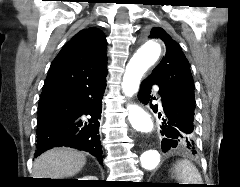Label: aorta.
Instances as JSON below:
<instances>
[{"label": "aorta", "mask_w": 240, "mask_h": 187, "mask_svg": "<svg viewBox=\"0 0 240 187\" xmlns=\"http://www.w3.org/2000/svg\"><path fill=\"white\" fill-rule=\"evenodd\" d=\"M161 45L156 40L147 41L131 58L123 76V93L131 97L138 92L144 73L158 60ZM129 121L132 127L141 133H150L153 122L150 115L135 105H129ZM161 155L156 149H147L140 156L141 166L145 170H153L160 163Z\"/></svg>", "instance_id": "aorta-1"}]
</instances>
